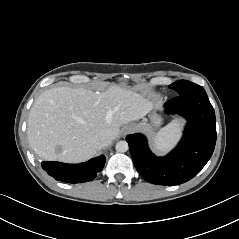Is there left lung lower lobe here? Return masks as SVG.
Here are the masks:
<instances>
[{"instance_id": "0a47b994", "label": "left lung lower lobe", "mask_w": 239, "mask_h": 239, "mask_svg": "<svg viewBox=\"0 0 239 239\" xmlns=\"http://www.w3.org/2000/svg\"><path fill=\"white\" fill-rule=\"evenodd\" d=\"M168 113L187 120L184 136L168 155L156 157L142 134L126 137L134 165L148 182L177 185L192 179L208 162L216 143L214 109L204 89L179 95L165 103Z\"/></svg>"}]
</instances>
